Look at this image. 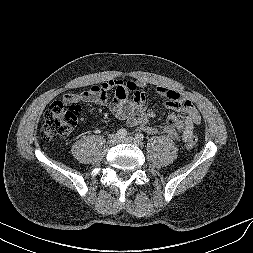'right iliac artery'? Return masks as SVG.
Segmentation results:
<instances>
[{
    "label": "right iliac artery",
    "mask_w": 253,
    "mask_h": 253,
    "mask_svg": "<svg viewBox=\"0 0 253 253\" xmlns=\"http://www.w3.org/2000/svg\"><path fill=\"white\" fill-rule=\"evenodd\" d=\"M116 134L118 135L119 138H123L127 135V130L124 128H121L117 131Z\"/></svg>",
    "instance_id": "obj_1"
}]
</instances>
